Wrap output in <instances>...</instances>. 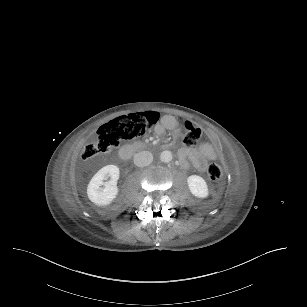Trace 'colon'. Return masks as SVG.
<instances>
[{
	"label": "colon",
	"instance_id": "5ec220e1",
	"mask_svg": "<svg viewBox=\"0 0 307 307\" xmlns=\"http://www.w3.org/2000/svg\"><path fill=\"white\" fill-rule=\"evenodd\" d=\"M160 114L155 111L140 112L117 117L100 126L98 138L88 143L81 158L85 161L94 156L106 154L113 146L124 141H133L148 132L158 122ZM202 136L199 126L185 122L181 128V139L186 146L196 145ZM210 180L216 181L222 177V169L217 163H211L207 168Z\"/></svg>",
	"mask_w": 307,
	"mask_h": 307
}]
</instances>
